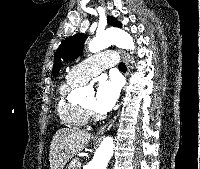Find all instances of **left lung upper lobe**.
<instances>
[{"label": "left lung upper lobe", "instance_id": "obj_1", "mask_svg": "<svg viewBox=\"0 0 200 169\" xmlns=\"http://www.w3.org/2000/svg\"><path fill=\"white\" fill-rule=\"evenodd\" d=\"M108 22L112 26L122 27V24L114 17H108ZM85 39L86 36L84 34H76L62 41L54 56L53 75H56L60 71L62 66L61 59L74 60L81 55Z\"/></svg>", "mask_w": 200, "mask_h": 169}]
</instances>
